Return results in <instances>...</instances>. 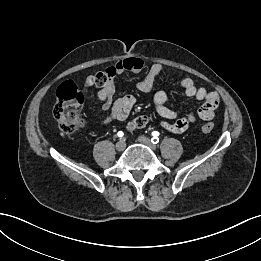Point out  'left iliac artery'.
<instances>
[{"label": "left iliac artery", "mask_w": 261, "mask_h": 261, "mask_svg": "<svg viewBox=\"0 0 261 261\" xmlns=\"http://www.w3.org/2000/svg\"><path fill=\"white\" fill-rule=\"evenodd\" d=\"M152 136L153 137L151 138V142L153 144H157L159 142V138H158L159 132H157V131L152 132Z\"/></svg>", "instance_id": "obj_1"}]
</instances>
